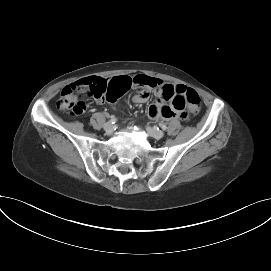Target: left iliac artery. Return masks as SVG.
Listing matches in <instances>:
<instances>
[{"label": "left iliac artery", "instance_id": "obj_1", "mask_svg": "<svg viewBox=\"0 0 271 271\" xmlns=\"http://www.w3.org/2000/svg\"><path fill=\"white\" fill-rule=\"evenodd\" d=\"M163 130H167V126L165 124L160 125Z\"/></svg>", "mask_w": 271, "mask_h": 271}]
</instances>
